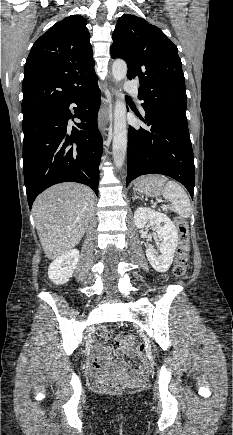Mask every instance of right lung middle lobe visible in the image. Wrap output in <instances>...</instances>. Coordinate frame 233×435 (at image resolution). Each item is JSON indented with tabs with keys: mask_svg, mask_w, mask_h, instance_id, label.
Returning a JSON list of instances; mask_svg holds the SVG:
<instances>
[{
	"mask_svg": "<svg viewBox=\"0 0 233 435\" xmlns=\"http://www.w3.org/2000/svg\"><path fill=\"white\" fill-rule=\"evenodd\" d=\"M32 116H33V115H32ZM32 116L23 117V120L28 119V118H30V117H32Z\"/></svg>",
	"mask_w": 233,
	"mask_h": 435,
	"instance_id": "right-lung-middle-lobe-1",
	"label": "right lung middle lobe"
}]
</instances>
